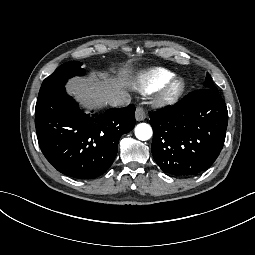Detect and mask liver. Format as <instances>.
<instances>
[{"label": "liver", "mask_w": 255, "mask_h": 255, "mask_svg": "<svg viewBox=\"0 0 255 255\" xmlns=\"http://www.w3.org/2000/svg\"><path fill=\"white\" fill-rule=\"evenodd\" d=\"M123 72H125V69L119 72V75L121 77L115 82H107V79L105 77H101V79L106 83L96 84L88 87L85 81L73 80L70 82L68 89L71 93L75 94L77 98L80 99L82 102L98 105L106 102L108 96L114 95L119 91L128 95L127 92L121 90V85L123 84L124 80ZM92 80L98 81L99 78L94 75L92 77Z\"/></svg>", "instance_id": "liver-1"}]
</instances>
